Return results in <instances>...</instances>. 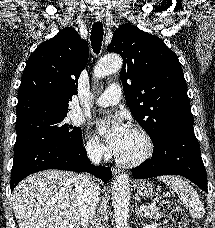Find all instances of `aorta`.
Listing matches in <instances>:
<instances>
[{
  "label": "aorta",
  "mask_w": 215,
  "mask_h": 228,
  "mask_svg": "<svg viewBox=\"0 0 215 228\" xmlns=\"http://www.w3.org/2000/svg\"><path fill=\"white\" fill-rule=\"evenodd\" d=\"M123 60L117 54H110L107 58H102L95 66L94 76L105 78L113 72H118L122 68ZM130 184L127 174L116 176L111 192L112 206L114 210V220L116 228H129L128 212L130 200Z\"/></svg>",
  "instance_id": "1"
}]
</instances>
